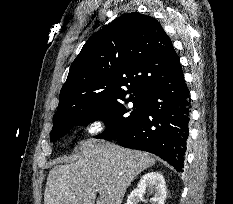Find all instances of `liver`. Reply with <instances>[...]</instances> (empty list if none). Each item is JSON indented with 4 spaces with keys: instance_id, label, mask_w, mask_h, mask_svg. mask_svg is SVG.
Listing matches in <instances>:
<instances>
[{
    "instance_id": "liver-1",
    "label": "liver",
    "mask_w": 233,
    "mask_h": 204,
    "mask_svg": "<svg viewBox=\"0 0 233 204\" xmlns=\"http://www.w3.org/2000/svg\"><path fill=\"white\" fill-rule=\"evenodd\" d=\"M76 150V161L49 171L44 204H121L131 182L155 164L148 153L104 140L81 141Z\"/></svg>"
}]
</instances>
